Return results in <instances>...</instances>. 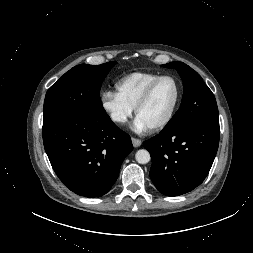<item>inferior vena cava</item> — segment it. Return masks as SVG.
<instances>
[{
  "label": "inferior vena cava",
  "instance_id": "602c4592",
  "mask_svg": "<svg viewBox=\"0 0 253 253\" xmlns=\"http://www.w3.org/2000/svg\"><path fill=\"white\" fill-rule=\"evenodd\" d=\"M111 118L113 121H117V122H124L125 121V118L121 115H118V114H112Z\"/></svg>",
  "mask_w": 253,
  "mask_h": 253
}]
</instances>
